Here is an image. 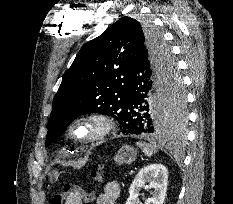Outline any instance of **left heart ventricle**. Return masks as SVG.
I'll list each match as a JSON object with an SVG mask.
<instances>
[{"mask_svg":"<svg viewBox=\"0 0 233 204\" xmlns=\"http://www.w3.org/2000/svg\"><path fill=\"white\" fill-rule=\"evenodd\" d=\"M94 132V128L88 125H81L77 127L74 131L75 136L78 138H83L89 136Z\"/></svg>","mask_w":233,"mask_h":204,"instance_id":"obj_1","label":"left heart ventricle"}]
</instances>
